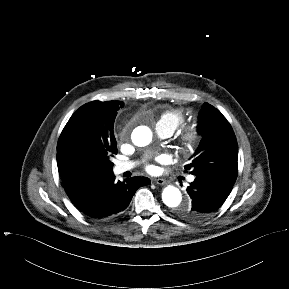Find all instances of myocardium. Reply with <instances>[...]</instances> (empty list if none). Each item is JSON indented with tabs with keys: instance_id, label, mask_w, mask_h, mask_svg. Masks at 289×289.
Returning <instances> with one entry per match:
<instances>
[{
	"instance_id": "myocardium-1",
	"label": "myocardium",
	"mask_w": 289,
	"mask_h": 289,
	"mask_svg": "<svg viewBox=\"0 0 289 289\" xmlns=\"http://www.w3.org/2000/svg\"><path fill=\"white\" fill-rule=\"evenodd\" d=\"M201 133L196 123L183 126L178 135L179 143L184 151L193 150L199 143Z\"/></svg>"
}]
</instances>
